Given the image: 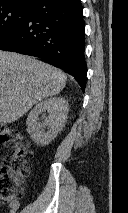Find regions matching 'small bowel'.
Segmentation results:
<instances>
[{
  "label": "small bowel",
  "instance_id": "1",
  "mask_svg": "<svg viewBox=\"0 0 128 213\" xmlns=\"http://www.w3.org/2000/svg\"><path fill=\"white\" fill-rule=\"evenodd\" d=\"M19 201L18 200H12L8 203V208L6 213H17L19 209Z\"/></svg>",
  "mask_w": 128,
  "mask_h": 213
}]
</instances>
